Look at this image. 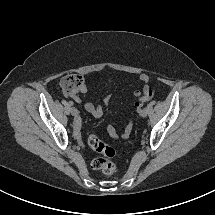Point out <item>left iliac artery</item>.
<instances>
[{
  "mask_svg": "<svg viewBox=\"0 0 215 215\" xmlns=\"http://www.w3.org/2000/svg\"><path fill=\"white\" fill-rule=\"evenodd\" d=\"M136 111H137L138 113H142V112H143V109H142V108H138Z\"/></svg>",
  "mask_w": 215,
  "mask_h": 215,
  "instance_id": "left-iliac-artery-1",
  "label": "left iliac artery"
}]
</instances>
